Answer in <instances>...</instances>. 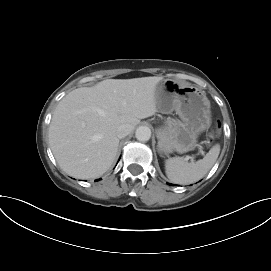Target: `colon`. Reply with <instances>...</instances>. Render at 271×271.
<instances>
[{
  "label": "colon",
  "mask_w": 271,
  "mask_h": 271,
  "mask_svg": "<svg viewBox=\"0 0 271 271\" xmlns=\"http://www.w3.org/2000/svg\"><path fill=\"white\" fill-rule=\"evenodd\" d=\"M209 142H211V136L209 137Z\"/></svg>",
  "instance_id": "1"
}]
</instances>
